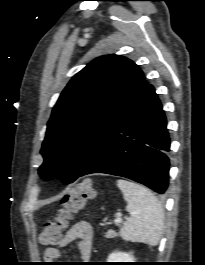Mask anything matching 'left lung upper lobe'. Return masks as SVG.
Wrapping results in <instances>:
<instances>
[{
    "mask_svg": "<svg viewBox=\"0 0 205 265\" xmlns=\"http://www.w3.org/2000/svg\"><path fill=\"white\" fill-rule=\"evenodd\" d=\"M148 83L120 55L101 56L78 72L61 93L47 124L39 174L75 181L140 100Z\"/></svg>",
    "mask_w": 205,
    "mask_h": 265,
    "instance_id": "1",
    "label": "left lung upper lobe"
}]
</instances>
